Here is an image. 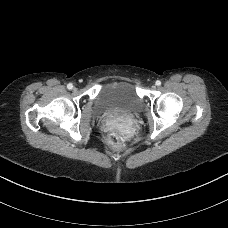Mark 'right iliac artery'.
Here are the masks:
<instances>
[{"label": "right iliac artery", "instance_id": "obj_1", "mask_svg": "<svg viewBox=\"0 0 228 228\" xmlns=\"http://www.w3.org/2000/svg\"><path fill=\"white\" fill-rule=\"evenodd\" d=\"M67 88H68L69 90H71V89L73 88V85H72L71 83H69V84L67 85Z\"/></svg>", "mask_w": 228, "mask_h": 228}]
</instances>
